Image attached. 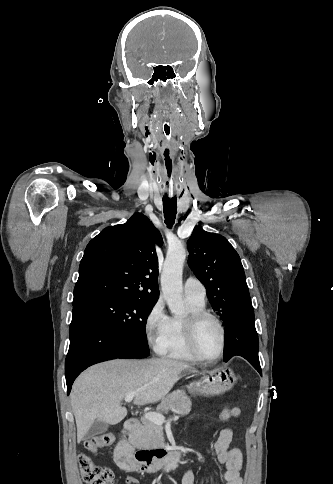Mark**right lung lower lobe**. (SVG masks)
Wrapping results in <instances>:
<instances>
[{"label":"right lung lower lobe","mask_w":333,"mask_h":484,"mask_svg":"<svg viewBox=\"0 0 333 484\" xmlns=\"http://www.w3.org/2000/svg\"><path fill=\"white\" fill-rule=\"evenodd\" d=\"M70 346L65 361L67 392L88 366L113 358H145L148 353L111 328L95 313L76 306L69 330Z\"/></svg>","instance_id":"98d812e1"}]
</instances>
